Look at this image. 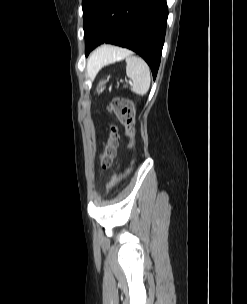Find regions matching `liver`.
I'll return each instance as SVG.
<instances>
[{
    "label": "liver",
    "mask_w": 247,
    "mask_h": 304,
    "mask_svg": "<svg viewBox=\"0 0 247 304\" xmlns=\"http://www.w3.org/2000/svg\"><path fill=\"white\" fill-rule=\"evenodd\" d=\"M120 52H127V50L111 46H102L99 48L88 61V74H95L105 64L110 56Z\"/></svg>",
    "instance_id": "obj_1"
}]
</instances>
